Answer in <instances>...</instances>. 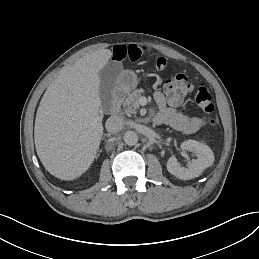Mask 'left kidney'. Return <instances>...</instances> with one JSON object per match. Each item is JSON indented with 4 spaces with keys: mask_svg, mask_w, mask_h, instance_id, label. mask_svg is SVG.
<instances>
[{
    "mask_svg": "<svg viewBox=\"0 0 259 259\" xmlns=\"http://www.w3.org/2000/svg\"><path fill=\"white\" fill-rule=\"evenodd\" d=\"M182 150L194 152L197 159L192 160L189 168L181 167L175 156H171L167 162V170L174 176L183 180L198 177L204 169L214 162L213 151L204 143L196 140H187L181 144Z\"/></svg>",
    "mask_w": 259,
    "mask_h": 259,
    "instance_id": "1",
    "label": "left kidney"
}]
</instances>
